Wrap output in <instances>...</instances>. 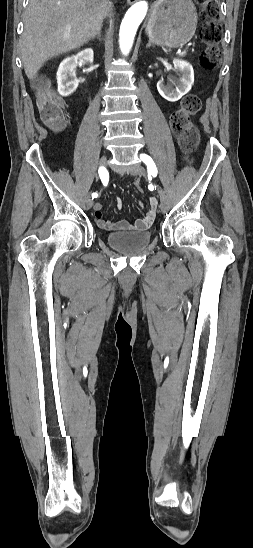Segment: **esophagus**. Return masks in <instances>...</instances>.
Returning a JSON list of instances; mask_svg holds the SVG:
<instances>
[{
  "mask_svg": "<svg viewBox=\"0 0 253 548\" xmlns=\"http://www.w3.org/2000/svg\"><path fill=\"white\" fill-rule=\"evenodd\" d=\"M136 1H137V0H127V3H128V4H133V3H135Z\"/></svg>",
  "mask_w": 253,
  "mask_h": 548,
  "instance_id": "obj_1",
  "label": "esophagus"
}]
</instances>
